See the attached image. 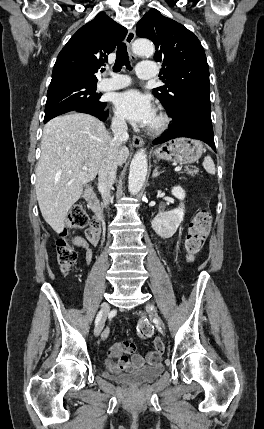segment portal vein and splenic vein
<instances>
[{
  "mask_svg": "<svg viewBox=\"0 0 264 429\" xmlns=\"http://www.w3.org/2000/svg\"><path fill=\"white\" fill-rule=\"evenodd\" d=\"M82 169H83V170H87V167H86V166H83V167H82ZM181 169H182V167H181V166H177V167L174 169V171H175V172H179Z\"/></svg>",
  "mask_w": 264,
  "mask_h": 429,
  "instance_id": "obj_1",
  "label": "portal vein and splenic vein"
}]
</instances>
